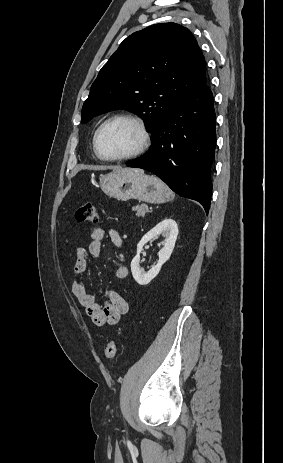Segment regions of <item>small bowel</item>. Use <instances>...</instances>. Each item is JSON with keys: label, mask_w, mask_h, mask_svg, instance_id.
<instances>
[{"label": "small bowel", "mask_w": 283, "mask_h": 463, "mask_svg": "<svg viewBox=\"0 0 283 463\" xmlns=\"http://www.w3.org/2000/svg\"><path fill=\"white\" fill-rule=\"evenodd\" d=\"M90 234L92 240L88 247H78L75 253V277L71 283V293L83 306L87 316L95 325H115L129 311L128 300L117 292L110 290L106 294L104 303L102 305L98 304L95 298L86 290L82 275L87 270L88 256L100 257L103 242L106 237H109L113 245L119 250L120 263L115 267L114 275L117 279H125L129 274V269L125 264L124 254L121 252L123 241L120 234L114 229L105 230L101 227H93Z\"/></svg>", "instance_id": "small-bowel-1"}]
</instances>
